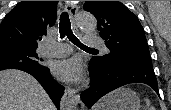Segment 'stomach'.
Returning <instances> with one entry per match:
<instances>
[{
    "mask_svg": "<svg viewBox=\"0 0 171 110\" xmlns=\"http://www.w3.org/2000/svg\"><path fill=\"white\" fill-rule=\"evenodd\" d=\"M98 110H140V100L135 92L128 88H119L100 102Z\"/></svg>",
    "mask_w": 171,
    "mask_h": 110,
    "instance_id": "obj_1",
    "label": "stomach"
}]
</instances>
